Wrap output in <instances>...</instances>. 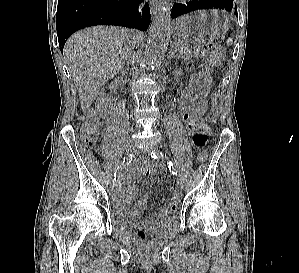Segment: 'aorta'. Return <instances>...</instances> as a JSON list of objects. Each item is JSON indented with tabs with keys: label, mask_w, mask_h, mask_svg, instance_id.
<instances>
[{
	"label": "aorta",
	"mask_w": 299,
	"mask_h": 273,
	"mask_svg": "<svg viewBox=\"0 0 299 273\" xmlns=\"http://www.w3.org/2000/svg\"><path fill=\"white\" fill-rule=\"evenodd\" d=\"M171 6L162 3L158 8L149 31L145 57L150 65L157 64L164 56L170 34Z\"/></svg>",
	"instance_id": "obj_1"
}]
</instances>
